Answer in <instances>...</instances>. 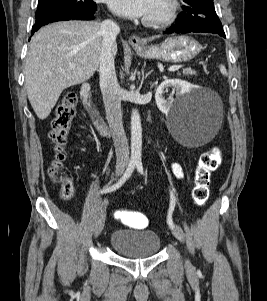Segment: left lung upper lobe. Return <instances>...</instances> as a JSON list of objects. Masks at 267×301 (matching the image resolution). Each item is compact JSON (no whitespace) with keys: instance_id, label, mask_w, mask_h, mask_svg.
<instances>
[{"instance_id":"obj_1","label":"left lung upper lobe","mask_w":267,"mask_h":301,"mask_svg":"<svg viewBox=\"0 0 267 301\" xmlns=\"http://www.w3.org/2000/svg\"><path fill=\"white\" fill-rule=\"evenodd\" d=\"M184 12L177 18V25H198L216 33H224L216 14L213 0H183Z\"/></svg>"}]
</instances>
